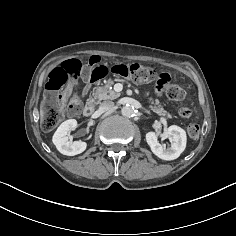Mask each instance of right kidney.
<instances>
[{"label": "right kidney", "instance_id": "obj_1", "mask_svg": "<svg viewBox=\"0 0 236 236\" xmlns=\"http://www.w3.org/2000/svg\"><path fill=\"white\" fill-rule=\"evenodd\" d=\"M77 121L69 119L64 121L53 135L52 142L57 150L68 156H74L85 151L87 143L83 141H72L68 134L77 128Z\"/></svg>", "mask_w": 236, "mask_h": 236}]
</instances>
